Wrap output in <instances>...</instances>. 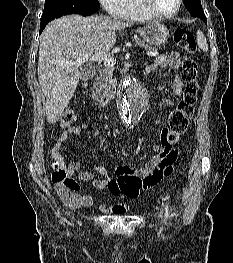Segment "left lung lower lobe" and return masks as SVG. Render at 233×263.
I'll return each mask as SVG.
<instances>
[{
    "label": "left lung lower lobe",
    "instance_id": "obj_1",
    "mask_svg": "<svg viewBox=\"0 0 233 263\" xmlns=\"http://www.w3.org/2000/svg\"><path fill=\"white\" fill-rule=\"evenodd\" d=\"M203 21H204V23H206L207 24V19H206V16L205 17H203V19H202Z\"/></svg>",
    "mask_w": 233,
    "mask_h": 263
}]
</instances>
